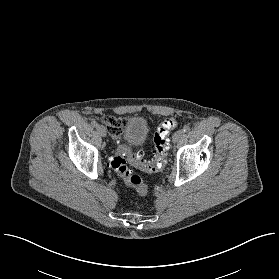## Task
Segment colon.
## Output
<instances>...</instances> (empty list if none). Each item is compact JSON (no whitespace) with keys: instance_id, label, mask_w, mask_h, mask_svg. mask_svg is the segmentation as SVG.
Returning a JSON list of instances; mask_svg holds the SVG:
<instances>
[{"instance_id":"1","label":"colon","mask_w":279,"mask_h":279,"mask_svg":"<svg viewBox=\"0 0 279 279\" xmlns=\"http://www.w3.org/2000/svg\"><path fill=\"white\" fill-rule=\"evenodd\" d=\"M115 125L119 123L114 122ZM177 126L174 119L163 121L154 133L155 162H148L143 159L142 152L134 151L128 145L118 141L115 154L111 160L112 169L118 174L123 182L134 188L139 194L145 195L148 192L146 180L140 176L133 175L128 163L146 173H155L161 170L166 162L168 153V136Z\"/></svg>"}]
</instances>
